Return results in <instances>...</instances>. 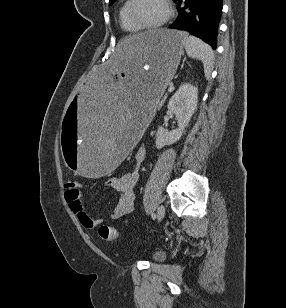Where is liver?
I'll return each instance as SVG.
<instances>
[{
    "label": "liver",
    "mask_w": 286,
    "mask_h": 308,
    "mask_svg": "<svg viewBox=\"0 0 286 308\" xmlns=\"http://www.w3.org/2000/svg\"><path fill=\"white\" fill-rule=\"evenodd\" d=\"M154 31L144 32V33L137 34V35H134V36H131V37H128V38L121 40L118 44L117 49H116L114 58L124 54L125 52H127L128 48H130V46L132 44H134L137 41H140L142 39H145L146 37H148Z\"/></svg>",
    "instance_id": "1"
}]
</instances>
